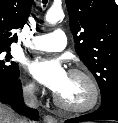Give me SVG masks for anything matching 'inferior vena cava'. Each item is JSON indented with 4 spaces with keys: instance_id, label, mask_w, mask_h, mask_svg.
I'll return each instance as SVG.
<instances>
[{
    "instance_id": "inferior-vena-cava-1",
    "label": "inferior vena cava",
    "mask_w": 118,
    "mask_h": 123,
    "mask_svg": "<svg viewBox=\"0 0 118 123\" xmlns=\"http://www.w3.org/2000/svg\"><path fill=\"white\" fill-rule=\"evenodd\" d=\"M23 96H24V102L26 105L37 108L38 107V101L35 96V85L30 84L28 86H25L23 88ZM20 123H26V121H20Z\"/></svg>"
}]
</instances>
